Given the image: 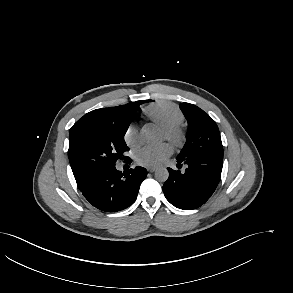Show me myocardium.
Wrapping results in <instances>:
<instances>
[{"mask_svg":"<svg viewBox=\"0 0 293 293\" xmlns=\"http://www.w3.org/2000/svg\"><path fill=\"white\" fill-rule=\"evenodd\" d=\"M163 132L165 138L177 148L182 147L186 142V132L181 125L163 128Z\"/></svg>","mask_w":293,"mask_h":293,"instance_id":"1","label":"myocardium"}]
</instances>
